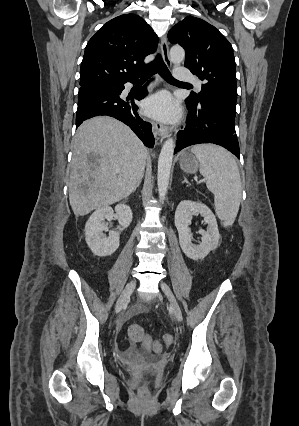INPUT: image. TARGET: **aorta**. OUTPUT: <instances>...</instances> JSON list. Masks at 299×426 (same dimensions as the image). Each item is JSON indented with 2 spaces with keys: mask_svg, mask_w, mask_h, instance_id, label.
I'll return each instance as SVG.
<instances>
[{
  "mask_svg": "<svg viewBox=\"0 0 299 426\" xmlns=\"http://www.w3.org/2000/svg\"><path fill=\"white\" fill-rule=\"evenodd\" d=\"M170 61L173 64H180L185 58V51L181 46L175 45L170 49ZM175 141L168 138L161 149L158 159L157 185L159 200L164 201L169 185L171 165L174 155Z\"/></svg>",
  "mask_w": 299,
  "mask_h": 426,
  "instance_id": "obj_1",
  "label": "aorta"
}]
</instances>
